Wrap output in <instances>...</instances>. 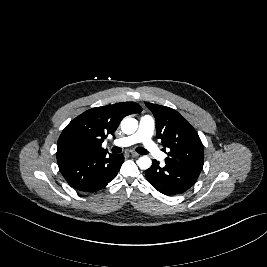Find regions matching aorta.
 Listing matches in <instances>:
<instances>
[{"instance_id": "aorta-1", "label": "aorta", "mask_w": 267, "mask_h": 267, "mask_svg": "<svg viewBox=\"0 0 267 267\" xmlns=\"http://www.w3.org/2000/svg\"><path fill=\"white\" fill-rule=\"evenodd\" d=\"M137 128L138 121L135 118L127 117L121 122V130L127 135L133 134ZM137 164L139 168L146 170L151 167L152 160L148 156H142L138 159Z\"/></svg>"}]
</instances>
